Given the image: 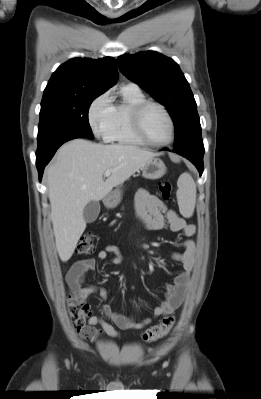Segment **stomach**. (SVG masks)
Masks as SVG:
<instances>
[{
	"label": "stomach",
	"instance_id": "1",
	"mask_svg": "<svg viewBox=\"0 0 261 399\" xmlns=\"http://www.w3.org/2000/svg\"><path fill=\"white\" fill-rule=\"evenodd\" d=\"M141 170L144 178L155 180L166 173V166L161 159L153 157L142 166ZM121 200L122 191L120 188H116L105 197L103 202L107 208L112 209L117 207Z\"/></svg>",
	"mask_w": 261,
	"mask_h": 399
}]
</instances>
